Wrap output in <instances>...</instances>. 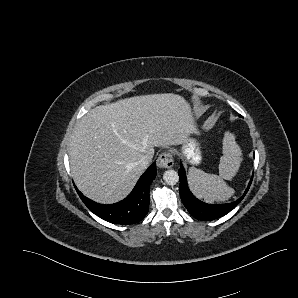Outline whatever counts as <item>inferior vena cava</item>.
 I'll return each mask as SVG.
<instances>
[{"instance_id":"1","label":"inferior vena cava","mask_w":298,"mask_h":298,"mask_svg":"<svg viewBox=\"0 0 298 298\" xmlns=\"http://www.w3.org/2000/svg\"><path fill=\"white\" fill-rule=\"evenodd\" d=\"M151 163V160L145 155L139 160V166L143 169H146L149 167Z\"/></svg>"}]
</instances>
